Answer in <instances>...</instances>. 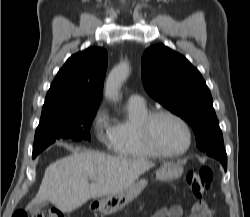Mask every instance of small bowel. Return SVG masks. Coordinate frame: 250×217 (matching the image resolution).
<instances>
[{
	"instance_id": "c3829d8e",
	"label": "small bowel",
	"mask_w": 250,
	"mask_h": 217,
	"mask_svg": "<svg viewBox=\"0 0 250 217\" xmlns=\"http://www.w3.org/2000/svg\"><path fill=\"white\" fill-rule=\"evenodd\" d=\"M183 210L179 205H173L169 208L158 209L152 217H182ZM189 217H204L201 214H198L195 210V206L191 209V214Z\"/></svg>"
}]
</instances>
